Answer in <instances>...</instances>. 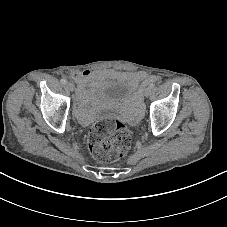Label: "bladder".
Returning a JSON list of instances; mask_svg holds the SVG:
<instances>
[{
  "mask_svg": "<svg viewBox=\"0 0 227 227\" xmlns=\"http://www.w3.org/2000/svg\"><path fill=\"white\" fill-rule=\"evenodd\" d=\"M96 92V100L100 102H130L135 93V88L130 82L107 81L101 83Z\"/></svg>",
  "mask_w": 227,
  "mask_h": 227,
  "instance_id": "31cf9c89",
  "label": "bladder"
}]
</instances>
